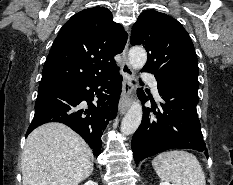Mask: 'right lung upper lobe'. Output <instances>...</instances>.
<instances>
[{"mask_svg": "<svg viewBox=\"0 0 233 185\" xmlns=\"http://www.w3.org/2000/svg\"><path fill=\"white\" fill-rule=\"evenodd\" d=\"M127 34L105 7L82 10L60 29L42 71L40 87L91 79L117 68Z\"/></svg>", "mask_w": 233, "mask_h": 185, "instance_id": "right-lung-upper-lobe-1", "label": "right lung upper lobe"}]
</instances>
